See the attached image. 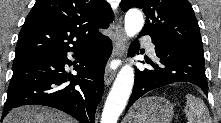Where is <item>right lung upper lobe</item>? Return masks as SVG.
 Masks as SVG:
<instances>
[{
	"label": "right lung upper lobe",
	"instance_id": "obj_1",
	"mask_svg": "<svg viewBox=\"0 0 221 123\" xmlns=\"http://www.w3.org/2000/svg\"><path fill=\"white\" fill-rule=\"evenodd\" d=\"M113 18L105 0H37L20 31L16 56L79 48L102 37L98 29H107Z\"/></svg>",
	"mask_w": 221,
	"mask_h": 123
}]
</instances>
